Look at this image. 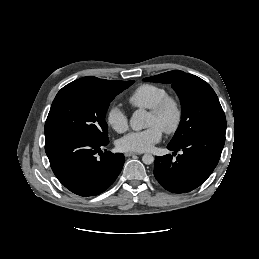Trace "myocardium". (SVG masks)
<instances>
[{
    "instance_id": "f54148a6",
    "label": "myocardium",
    "mask_w": 259,
    "mask_h": 259,
    "mask_svg": "<svg viewBox=\"0 0 259 259\" xmlns=\"http://www.w3.org/2000/svg\"><path fill=\"white\" fill-rule=\"evenodd\" d=\"M167 111L172 112V120L165 124L161 129L165 133L171 134L178 130L183 117L182 106L175 97L166 95L153 108L150 109V114L160 118L164 116Z\"/></svg>"
}]
</instances>
